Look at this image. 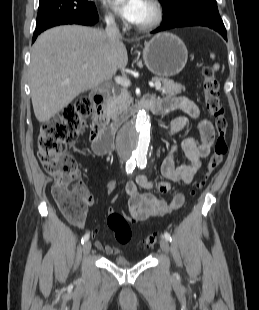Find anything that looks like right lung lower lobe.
<instances>
[{
  "instance_id": "right-lung-lower-lobe-1",
  "label": "right lung lower lobe",
  "mask_w": 259,
  "mask_h": 310,
  "mask_svg": "<svg viewBox=\"0 0 259 310\" xmlns=\"http://www.w3.org/2000/svg\"><path fill=\"white\" fill-rule=\"evenodd\" d=\"M98 21V14L97 11L90 14L88 17L83 18V19H78V20H71V19H62V18H57L49 21L42 27H39L35 30L32 42H34L37 38V35H39L41 32L45 31L48 28L58 26V25H63V24H82V25H93Z\"/></svg>"
}]
</instances>
